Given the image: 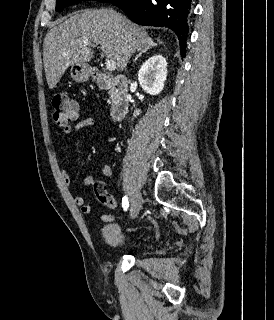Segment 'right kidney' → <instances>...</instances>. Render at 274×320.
Masks as SVG:
<instances>
[{
    "label": "right kidney",
    "instance_id": "obj_1",
    "mask_svg": "<svg viewBox=\"0 0 274 320\" xmlns=\"http://www.w3.org/2000/svg\"><path fill=\"white\" fill-rule=\"evenodd\" d=\"M167 76V62L161 54H154L142 64L138 72V80L141 88L150 94V96H157L162 92L165 86ZM141 110H135L133 116L137 118Z\"/></svg>",
    "mask_w": 274,
    "mask_h": 320
}]
</instances>
